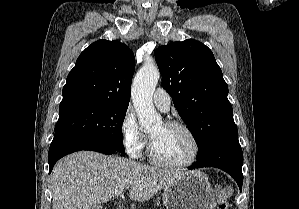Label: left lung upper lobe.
Here are the masks:
<instances>
[{"instance_id": "obj_1", "label": "left lung upper lobe", "mask_w": 299, "mask_h": 209, "mask_svg": "<svg viewBox=\"0 0 299 209\" xmlns=\"http://www.w3.org/2000/svg\"><path fill=\"white\" fill-rule=\"evenodd\" d=\"M155 57L163 88L193 134L201 159L217 139L237 129L222 71L212 51L194 39L161 46Z\"/></svg>"}]
</instances>
